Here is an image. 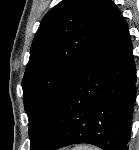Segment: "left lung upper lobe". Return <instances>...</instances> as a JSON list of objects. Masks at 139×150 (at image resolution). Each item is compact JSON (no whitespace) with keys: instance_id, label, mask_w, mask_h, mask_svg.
Instances as JSON below:
<instances>
[{"instance_id":"obj_1","label":"left lung upper lobe","mask_w":139,"mask_h":150,"mask_svg":"<svg viewBox=\"0 0 139 150\" xmlns=\"http://www.w3.org/2000/svg\"><path fill=\"white\" fill-rule=\"evenodd\" d=\"M113 4L111 0H62L42 19L22 80L30 147L47 126L54 102Z\"/></svg>"}]
</instances>
